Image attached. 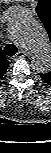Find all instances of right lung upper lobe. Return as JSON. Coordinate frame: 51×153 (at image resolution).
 Instances as JSON below:
<instances>
[{
    "mask_svg": "<svg viewBox=\"0 0 51 153\" xmlns=\"http://www.w3.org/2000/svg\"><path fill=\"white\" fill-rule=\"evenodd\" d=\"M8 66H9V61L5 58V55L0 48V79L5 74Z\"/></svg>",
    "mask_w": 51,
    "mask_h": 153,
    "instance_id": "cb5924a9",
    "label": "right lung upper lobe"
}]
</instances>
